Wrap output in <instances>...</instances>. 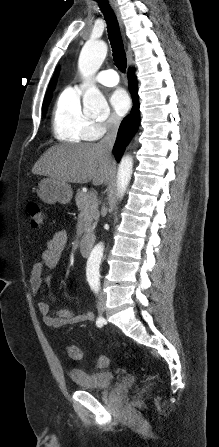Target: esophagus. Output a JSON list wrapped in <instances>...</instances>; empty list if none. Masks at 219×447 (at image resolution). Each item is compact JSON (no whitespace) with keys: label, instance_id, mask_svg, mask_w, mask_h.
I'll return each instance as SVG.
<instances>
[{"label":"esophagus","instance_id":"esophagus-1","mask_svg":"<svg viewBox=\"0 0 219 447\" xmlns=\"http://www.w3.org/2000/svg\"><path fill=\"white\" fill-rule=\"evenodd\" d=\"M109 1H110V4H111V7H112L113 10L115 11V14H116V16H117V19H118V21H119L120 26L123 27V26H122L121 15H120V12H119V9H118V6H117L116 2H115L114 0H109Z\"/></svg>","mask_w":219,"mask_h":447}]
</instances>
